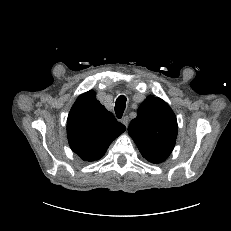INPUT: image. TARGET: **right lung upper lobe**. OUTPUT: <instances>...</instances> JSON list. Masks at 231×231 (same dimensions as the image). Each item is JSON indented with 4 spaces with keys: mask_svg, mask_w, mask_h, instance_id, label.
I'll use <instances>...</instances> for the list:
<instances>
[{
    "mask_svg": "<svg viewBox=\"0 0 231 231\" xmlns=\"http://www.w3.org/2000/svg\"><path fill=\"white\" fill-rule=\"evenodd\" d=\"M125 126L96 99L94 91L78 97L67 119V137L71 149L83 160L100 159Z\"/></svg>",
    "mask_w": 231,
    "mask_h": 231,
    "instance_id": "1",
    "label": "right lung upper lobe"
}]
</instances>
